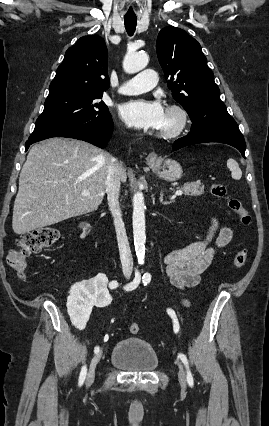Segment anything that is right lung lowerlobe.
<instances>
[{
    "mask_svg": "<svg viewBox=\"0 0 269 426\" xmlns=\"http://www.w3.org/2000/svg\"><path fill=\"white\" fill-rule=\"evenodd\" d=\"M112 132L113 120L111 117L99 122H85L76 124L70 128L48 132L34 139H28L25 144V150H27L31 144L51 137L75 138L92 143L100 148H104L106 147Z\"/></svg>",
    "mask_w": 269,
    "mask_h": 426,
    "instance_id": "obj_1",
    "label": "right lung lower lobe"
}]
</instances>
